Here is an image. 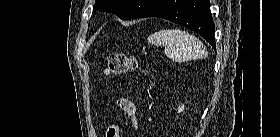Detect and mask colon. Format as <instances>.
<instances>
[{"instance_id":"colon-1","label":"colon","mask_w":280,"mask_h":137,"mask_svg":"<svg viewBox=\"0 0 280 137\" xmlns=\"http://www.w3.org/2000/svg\"><path fill=\"white\" fill-rule=\"evenodd\" d=\"M140 70L141 66L135 55L113 53L107 59L104 74L107 76H121ZM105 137H121V132L118 127H110L106 130Z\"/></svg>"}]
</instances>
